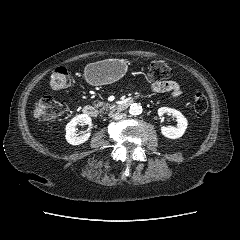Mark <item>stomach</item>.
<instances>
[{
    "instance_id": "obj_1",
    "label": "stomach",
    "mask_w": 240,
    "mask_h": 240,
    "mask_svg": "<svg viewBox=\"0 0 240 240\" xmlns=\"http://www.w3.org/2000/svg\"><path fill=\"white\" fill-rule=\"evenodd\" d=\"M126 72V65L116 59H106L90 63L85 67L84 77L92 85L111 84Z\"/></svg>"
}]
</instances>
